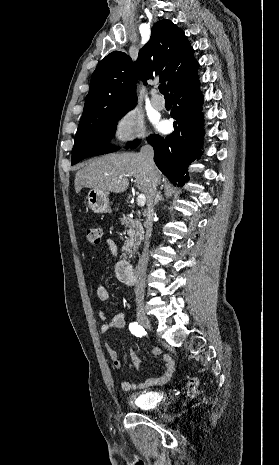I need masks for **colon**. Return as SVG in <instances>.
<instances>
[{
  "label": "colon",
  "mask_w": 279,
  "mask_h": 465,
  "mask_svg": "<svg viewBox=\"0 0 279 465\" xmlns=\"http://www.w3.org/2000/svg\"><path fill=\"white\" fill-rule=\"evenodd\" d=\"M85 235H86V239L88 243L91 246L97 247L100 245L101 239H102V230L100 228H97V227L88 228L86 230ZM198 383L199 382L197 378H190L188 380L187 387H188V394L190 396H194L197 393Z\"/></svg>",
  "instance_id": "5ec220e1"
}]
</instances>
